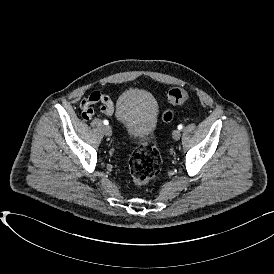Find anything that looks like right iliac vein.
I'll use <instances>...</instances> for the list:
<instances>
[{
    "mask_svg": "<svg viewBox=\"0 0 274 274\" xmlns=\"http://www.w3.org/2000/svg\"><path fill=\"white\" fill-rule=\"evenodd\" d=\"M103 130H104V133H105L106 136H111L112 135V129H111L110 126H105Z\"/></svg>",
    "mask_w": 274,
    "mask_h": 274,
    "instance_id": "63e3f726",
    "label": "right iliac vein"
}]
</instances>
